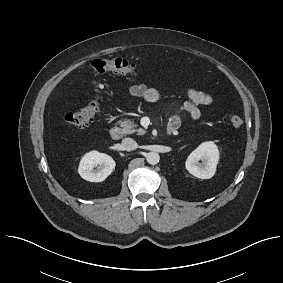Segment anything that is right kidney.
<instances>
[{
  "instance_id": "ca27d5eb",
  "label": "right kidney",
  "mask_w": 283,
  "mask_h": 283,
  "mask_svg": "<svg viewBox=\"0 0 283 283\" xmlns=\"http://www.w3.org/2000/svg\"><path fill=\"white\" fill-rule=\"evenodd\" d=\"M115 165L112 157L97 151H91L82 157L78 172L87 181L101 182L112 173Z\"/></svg>"
}]
</instances>
